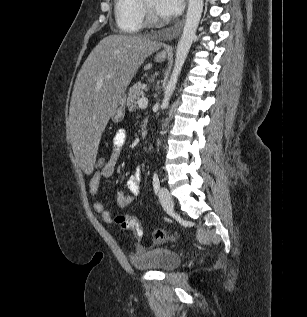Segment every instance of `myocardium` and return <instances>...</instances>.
Listing matches in <instances>:
<instances>
[{
	"mask_svg": "<svg viewBox=\"0 0 307 317\" xmlns=\"http://www.w3.org/2000/svg\"><path fill=\"white\" fill-rule=\"evenodd\" d=\"M144 18L150 26L159 27L163 21L154 13L153 9L146 3V0H140Z\"/></svg>",
	"mask_w": 307,
	"mask_h": 317,
	"instance_id": "f54148a6",
	"label": "myocardium"
}]
</instances>
